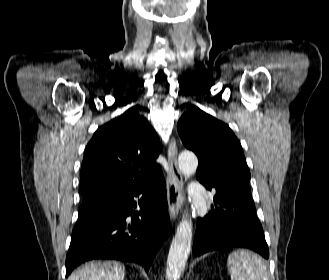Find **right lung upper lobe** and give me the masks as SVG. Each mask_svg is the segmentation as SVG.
Instances as JSON below:
<instances>
[{"mask_svg":"<svg viewBox=\"0 0 329 280\" xmlns=\"http://www.w3.org/2000/svg\"><path fill=\"white\" fill-rule=\"evenodd\" d=\"M159 139L137 111L125 113L100 126L88 143L81 171L83 200L111 187L152 181L162 175L155 162Z\"/></svg>","mask_w":329,"mask_h":280,"instance_id":"right-lung-upper-lobe-1","label":"right lung upper lobe"}]
</instances>
